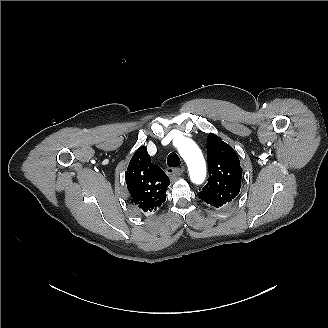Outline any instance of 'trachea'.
Here are the masks:
<instances>
[{
    "instance_id": "obj_1",
    "label": "trachea",
    "mask_w": 328,
    "mask_h": 328,
    "mask_svg": "<svg viewBox=\"0 0 328 328\" xmlns=\"http://www.w3.org/2000/svg\"><path fill=\"white\" fill-rule=\"evenodd\" d=\"M167 164L169 167H173V168L180 166L181 161L179 156L174 152L170 153L167 157Z\"/></svg>"
}]
</instances>
